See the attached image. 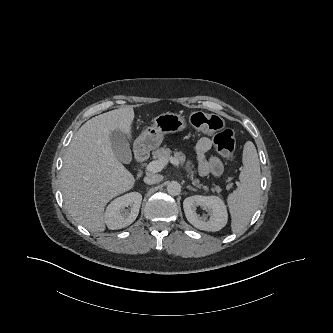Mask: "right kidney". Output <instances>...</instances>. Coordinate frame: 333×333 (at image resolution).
I'll return each instance as SVG.
<instances>
[{
    "instance_id": "obj_1",
    "label": "right kidney",
    "mask_w": 333,
    "mask_h": 333,
    "mask_svg": "<svg viewBox=\"0 0 333 333\" xmlns=\"http://www.w3.org/2000/svg\"><path fill=\"white\" fill-rule=\"evenodd\" d=\"M142 195L130 192L114 199L105 212V223L109 229H121L132 224L138 216Z\"/></svg>"
}]
</instances>
